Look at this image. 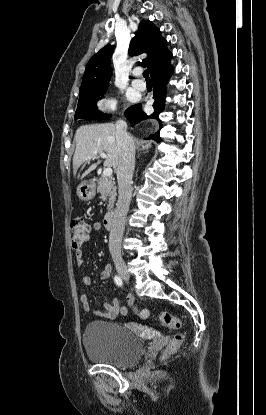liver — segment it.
<instances>
[{"mask_svg": "<svg viewBox=\"0 0 266 415\" xmlns=\"http://www.w3.org/2000/svg\"><path fill=\"white\" fill-rule=\"evenodd\" d=\"M76 149L73 156L74 173L90 156L95 158L97 154L106 152L107 158L104 165L116 169L120 159V149L117 144L116 126L113 123L93 124L80 126L75 134ZM134 143V142H133ZM151 142H147L144 149H148ZM135 148V145H134ZM92 164L81 178L96 168Z\"/></svg>", "mask_w": 266, "mask_h": 415, "instance_id": "liver-1", "label": "liver"}]
</instances>
